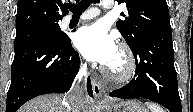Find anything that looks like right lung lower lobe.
Masks as SVG:
<instances>
[{"mask_svg":"<svg viewBox=\"0 0 193 112\" xmlns=\"http://www.w3.org/2000/svg\"><path fill=\"white\" fill-rule=\"evenodd\" d=\"M80 59L71 40L47 36L15 50L6 112H16L42 94L67 92L79 70ZM87 91L92 97L90 79Z\"/></svg>","mask_w":193,"mask_h":112,"instance_id":"1","label":"right lung lower lobe"}]
</instances>
